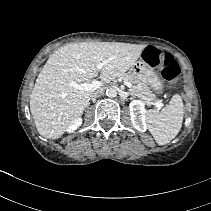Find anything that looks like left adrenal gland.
I'll return each instance as SVG.
<instances>
[{
  "label": "left adrenal gland",
  "mask_w": 211,
  "mask_h": 211,
  "mask_svg": "<svg viewBox=\"0 0 211 211\" xmlns=\"http://www.w3.org/2000/svg\"><path fill=\"white\" fill-rule=\"evenodd\" d=\"M128 94L131 95L132 98H135V96L131 92H128Z\"/></svg>",
  "instance_id": "left-adrenal-gland-1"
}]
</instances>
